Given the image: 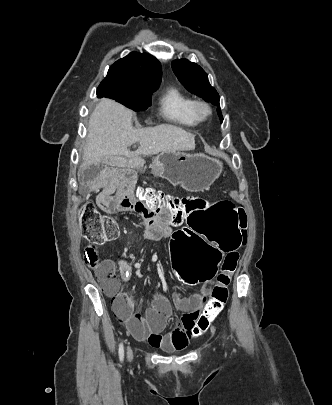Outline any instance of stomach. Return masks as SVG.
<instances>
[{
	"label": "stomach",
	"instance_id": "1",
	"mask_svg": "<svg viewBox=\"0 0 332 405\" xmlns=\"http://www.w3.org/2000/svg\"><path fill=\"white\" fill-rule=\"evenodd\" d=\"M154 170L190 192L208 189L220 176L223 164L216 158L185 152H162L153 161Z\"/></svg>",
	"mask_w": 332,
	"mask_h": 405
}]
</instances>
